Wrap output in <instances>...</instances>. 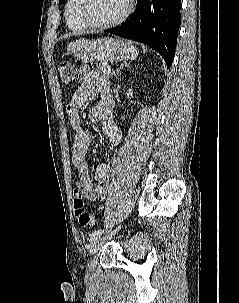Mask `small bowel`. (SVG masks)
Masks as SVG:
<instances>
[{
    "instance_id": "c3829d8e",
    "label": "small bowel",
    "mask_w": 239,
    "mask_h": 303,
    "mask_svg": "<svg viewBox=\"0 0 239 303\" xmlns=\"http://www.w3.org/2000/svg\"><path fill=\"white\" fill-rule=\"evenodd\" d=\"M80 83L67 105V115L73 129L72 164L77 170V189L90 201H101L107 196L110 188L111 166L101 163L95 169L94 184L90 179L89 164L86 153L93 141V136L87 131L80 120V109L94 96L98 97L97 105L90 112L91 120H101L102 133L113 145L122 141V133L111 118L113 100L110 95L107 80L98 71L87 65L81 66Z\"/></svg>"
}]
</instances>
